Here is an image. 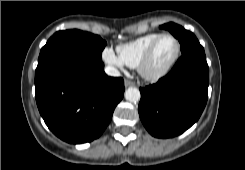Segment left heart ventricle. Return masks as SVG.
Masks as SVG:
<instances>
[{"label":"left heart ventricle","mask_w":245,"mask_h":170,"mask_svg":"<svg viewBox=\"0 0 245 170\" xmlns=\"http://www.w3.org/2000/svg\"><path fill=\"white\" fill-rule=\"evenodd\" d=\"M174 42L169 37L162 38L157 44L149 68L151 70H158L162 68L172 57L174 53Z\"/></svg>","instance_id":"1"}]
</instances>
